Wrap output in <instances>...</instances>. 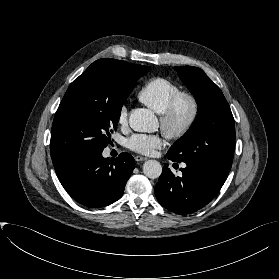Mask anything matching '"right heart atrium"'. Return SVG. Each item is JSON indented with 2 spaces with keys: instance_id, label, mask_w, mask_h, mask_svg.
Returning <instances> with one entry per match:
<instances>
[{
  "instance_id": "d8ad5b80",
  "label": "right heart atrium",
  "mask_w": 279,
  "mask_h": 279,
  "mask_svg": "<svg viewBox=\"0 0 279 279\" xmlns=\"http://www.w3.org/2000/svg\"><path fill=\"white\" fill-rule=\"evenodd\" d=\"M128 108L126 106H123L118 114V123L122 126H125L128 122Z\"/></svg>"
}]
</instances>
